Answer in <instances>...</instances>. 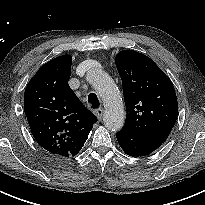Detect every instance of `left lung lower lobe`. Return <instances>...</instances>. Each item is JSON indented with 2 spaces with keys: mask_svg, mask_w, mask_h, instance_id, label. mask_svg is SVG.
I'll return each mask as SVG.
<instances>
[{
  "mask_svg": "<svg viewBox=\"0 0 205 205\" xmlns=\"http://www.w3.org/2000/svg\"><path fill=\"white\" fill-rule=\"evenodd\" d=\"M119 145L129 156H145L159 148L163 142L154 140L122 128L116 133Z\"/></svg>",
  "mask_w": 205,
  "mask_h": 205,
  "instance_id": "1",
  "label": "left lung lower lobe"
}]
</instances>
